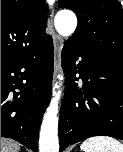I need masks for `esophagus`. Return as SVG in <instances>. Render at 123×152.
Masks as SVG:
<instances>
[{"label": "esophagus", "instance_id": "1", "mask_svg": "<svg viewBox=\"0 0 123 152\" xmlns=\"http://www.w3.org/2000/svg\"><path fill=\"white\" fill-rule=\"evenodd\" d=\"M51 17H53V12L51 14ZM62 38L54 34L53 35V46H54V81L56 80V75L60 69L61 65V51H62Z\"/></svg>", "mask_w": 123, "mask_h": 152}]
</instances>
